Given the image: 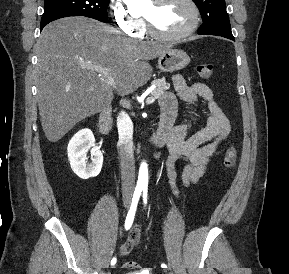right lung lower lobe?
Instances as JSON below:
<instances>
[{
    "label": "right lung lower lobe",
    "instance_id": "98d812e1",
    "mask_svg": "<svg viewBox=\"0 0 289 274\" xmlns=\"http://www.w3.org/2000/svg\"><path fill=\"white\" fill-rule=\"evenodd\" d=\"M48 23H49V22H48ZM48 23L41 24V30H42L43 27H44L45 25H47Z\"/></svg>",
    "mask_w": 289,
    "mask_h": 274
}]
</instances>
